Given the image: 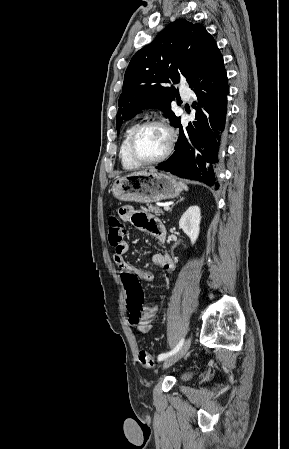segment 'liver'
I'll list each match as a JSON object with an SVG mask.
<instances>
[{"label": "liver", "mask_w": 289, "mask_h": 449, "mask_svg": "<svg viewBox=\"0 0 289 449\" xmlns=\"http://www.w3.org/2000/svg\"><path fill=\"white\" fill-rule=\"evenodd\" d=\"M138 173H141V172H134L133 174H138Z\"/></svg>", "instance_id": "liver-1"}]
</instances>
